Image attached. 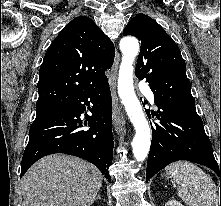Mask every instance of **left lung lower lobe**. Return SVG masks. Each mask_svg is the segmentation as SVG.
<instances>
[{"label":"left lung lower lobe","instance_id":"left-lung-lower-lobe-1","mask_svg":"<svg viewBox=\"0 0 221 206\" xmlns=\"http://www.w3.org/2000/svg\"><path fill=\"white\" fill-rule=\"evenodd\" d=\"M155 104L158 107L156 116L161 123L151 126L152 142L146 181L168 164L178 160L207 166L220 176L221 181V162L217 163L214 158L211 142L197 112L169 108L157 100ZM146 112L150 117L149 111Z\"/></svg>","mask_w":221,"mask_h":206}]
</instances>
